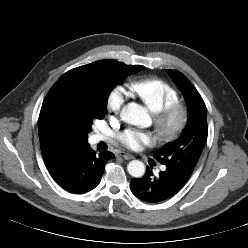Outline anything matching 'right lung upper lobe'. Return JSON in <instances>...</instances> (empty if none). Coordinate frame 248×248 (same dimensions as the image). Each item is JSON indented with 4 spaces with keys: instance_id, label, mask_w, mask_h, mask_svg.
<instances>
[{
    "instance_id": "1",
    "label": "right lung upper lobe",
    "mask_w": 248,
    "mask_h": 248,
    "mask_svg": "<svg viewBox=\"0 0 248 248\" xmlns=\"http://www.w3.org/2000/svg\"><path fill=\"white\" fill-rule=\"evenodd\" d=\"M38 131L45 164L73 147L85 144L73 129L49 119L43 113L39 115Z\"/></svg>"
}]
</instances>
